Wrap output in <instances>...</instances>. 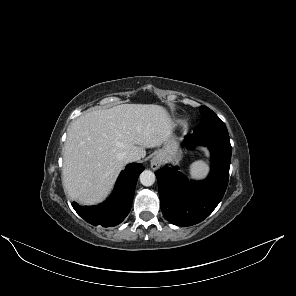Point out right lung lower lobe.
I'll return each instance as SVG.
<instances>
[{
    "label": "right lung lower lobe",
    "instance_id": "right-lung-lower-lobe-1",
    "mask_svg": "<svg viewBox=\"0 0 296 296\" xmlns=\"http://www.w3.org/2000/svg\"><path fill=\"white\" fill-rule=\"evenodd\" d=\"M144 170L142 164L132 163L125 167L116 182L110 198L98 206H79L72 203L76 212L88 223L103 227L116 226L130 212L135 192V186L140 173Z\"/></svg>",
    "mask_w": 296,
    "mask_h": 296
}]
</instances>
